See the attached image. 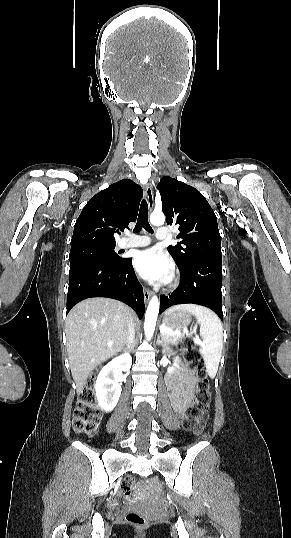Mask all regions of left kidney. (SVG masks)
<instances>
[{"label":"left kidney","mask_w":291,"mask_h":538,"mask_svg":"<svg viewBox=\"0 0 291 538\" xmlns=\"http://www.w3.org/2000/svg\"><path fill=\"white\" fill-rule=\"evenodd\" d=\"M178 365H179V358L176 357V358H175L174 365H173L172 367H169V368L167 369V373H168V374H172V373L175 371V368L178 367Z\"/></svg>","instance_id":"1"}]
</instances>
